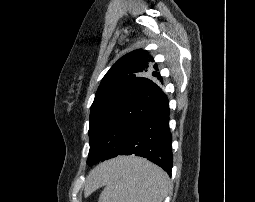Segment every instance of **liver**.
Masks as SVG:
<instances>
[{
	"label": "liver",
	"instance_id": "1",
	"mask_svg": "<svg viewBox=\"0 0 255 202\" xmlns=\"http://www.w3.org/2000/svg\"><path fill=\"white\" fill-rule=\"evenodd\" d=\"M116 160H117V159H116ZM116 160L114 159V160H111V161H109V162H105V163L101 164L100 166H98L96 169H94V170L90 173V175H89V177H88V180H87V182H88V188H95V187H96V186H95V183H96V175H97V173L99 172L100 168L106 166V165L109 164V163H113V162H115Z\"/></svg>",
	"mask_w": 255,
	"mask_h": 202
}]
</instances>
